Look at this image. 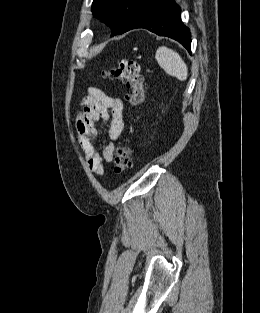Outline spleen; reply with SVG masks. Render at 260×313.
<instances>
[{
	"instance_id": "3e777b00",
	"label": "spleen",
	"mask_w": 260,
	"mask_h": 313,
	"mask_svg": "<svg viewBox=\"0 0 260 313\" xmlns=\"http://www.w3.org/2000/svg\"><path fill=\"white\" fill-rule=\"evenodd\" d=\"M155 58L161 68L171 76L180 81H185L188 77V68L181 56L174 50L165 46L159 47Z\"/></svg>"
}]
</instances>
